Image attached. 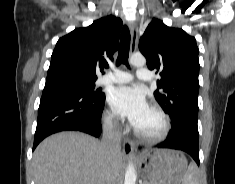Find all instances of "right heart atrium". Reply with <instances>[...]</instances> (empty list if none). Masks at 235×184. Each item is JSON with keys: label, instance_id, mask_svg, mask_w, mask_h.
I'll return each instance as SVG.
<instances>
[{"label": "right heart atrium", "instance_id": "d8ad5b80", "mask_svg": "<svg viewBox=\"0 0 235 184\" xmlns=\"http://www.w3.org/2000/svg\"><path fill=\"white\" fill-rule=\"evenodd\" d=\"M103 119H104V123L106 128L114 134H118L120 127L118 122L113 118V116L110 114V112L105 111L103 114Z\"/></svg>", "mask_w": 235, "mask_h": 184}]
</instances>
